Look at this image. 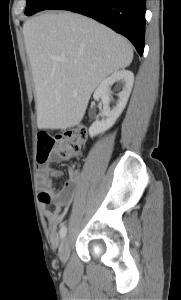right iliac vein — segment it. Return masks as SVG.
I'll return each instance as SVG.
<instances>
[{"label":"right iliac vein","mask_w":181,"mask_h":300,"mask_svg":"<svg viewBox=\"0 0 181 300\" xmlns=\"http://www.w3.org/2000/svg\"><path fill=\"white\" fill-rule=\"evenodd\" d=\"M70 254V241L68 237L64 238L59 248V258L63 263L68 261Z\"/></svg>","instance_id":"obj_1"}]
</instances>
